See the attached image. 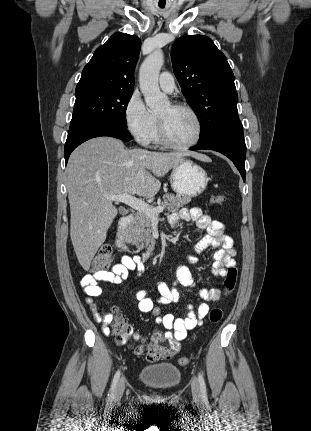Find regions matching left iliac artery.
Returning a JSON list of instances; mask_svg holds the SVG:
<instances>
[{
	"label": "left iliac artery",
	"instance_id": "1",
	"mask_svg": "<svg viewBox=\"0 0 311 431\" xmlns=\"http://www.w3.org/2000/svg\"><path fill=\"white\" fill-rule=\"evenodd\" d=\"M198 380H199V384H200V390H201L202 398L204 401H207L206 385H205V381H204V378H203L201 373H199V375H198Z\"/></svg>",
	"mask_w": 311,
	"mask_h": 431
}]
</instances>
